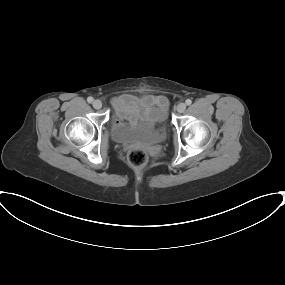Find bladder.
<instances>
[{
    "label": "bladder",
    "instance_id": "1",
    "mask_svg": "<svg viewBox=\"0 0 285 285\" xmlns=\"http://www.w3.org/2000/svg\"><path fill=\"white\" fill-rule=\"evenodd\" d=\"M167 112L160 108L156 111L155 119L152 123H138L131 125L124 119L121 110H118L112 125V136L119 143L128 142H148L157 143L162 141L166 136L164 123ZM161 126V127H159Z\"/></svg>",
    "mask_w": 285,
    "mask_h": 285
}]
</instances>
